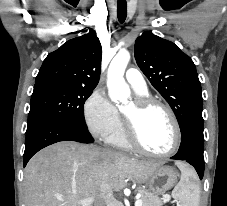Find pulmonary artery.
<instances>
[{"mask_svg": "<svg viewBox=\"0 0 227 206\" xmlns=\"http://www.w3.org/2000/svg\"><path fill=\"white\" fill-rule=\"evenodd\" d=\"M126 81L138 94L147 93V85L141 72L135 68H129L125 74Z\"/></svg>", "mask_w": 227, "mask_h": 206, "instance_id": "1", "label": "pulmonary artery"}]
</instances>
